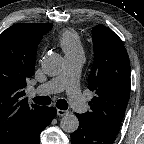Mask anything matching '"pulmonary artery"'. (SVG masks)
<instances>
[{
  "label": "pulmonary artery",
  "instance_id": "e3ab8cb5",
  "mask_svg": "<svg viewBox=\"0 0 144 144\" xmlns=\"http://www.w3.org/2000/svg\"><path fill=\"white\" fill-rule=\"evenodd\" d=\"M83 61V53L66 55L62 72L45 84L38 86L33 93L47 95L66 90L73 108L78 113L84 112L86 103L79 88V75Z\"/></svg>",
  "mask_w": 144,
  "mask_h": 144
}]
</instances>
